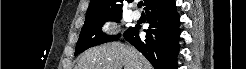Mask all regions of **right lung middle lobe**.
<instances>
[{"label": "right lung middle lobe", "mask_w": 246, "mask_h": 69, "mask_svg": "<svg viewBox=\"0 0 246 69\" xmlns=\"http://www.w3.org/2000/svg\"><path fill=\"white\" fill-rule=\"evenodd\" d=\"M122 15L108 16L98 20L85 21L76 44L75 55L87 50L90 47L100 45L106 42L116 41L120 34L109 36L102 32V26L106 21L119 22Z\"/></svg>", "instance_id": "obj_1"}]
</instances>
